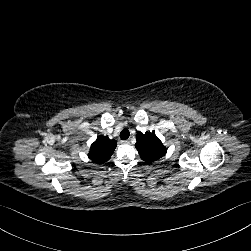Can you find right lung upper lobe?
<instances>
[{"instance_id": "cb5924a9", "label": "right lung upper lobe", "mask_w": 251, "mask_h": 251, "mask_svg": "<svg viewBox=\"0 0 251 251\" xmlns=\"http://www.w3.org/2000/svg\"><path fill=\"white\" fill-rule=\"evenodd\" d=\"M116 146L115 140H110L107 136H98L91 145L88 157L94 163L103 164L110 159Z\"/></svg>"}]
</instances>
